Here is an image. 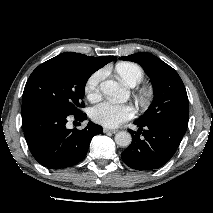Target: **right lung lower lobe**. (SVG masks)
Segmentation results:
<instances>
[{
	"instance_id": "obj_1",
	"label": "right lung lower lobe",
	"mask_w": 213,
	"mask_h": 213,
	"mask_svg": "<svg viewBox=\"0 0 213 213\" xmlns=\"http://www.w3.org/2000/svg\"><path fill=\"white\" fill-rule=\"evenodd\" d=\"M22 123L25 139L33 157L50 169L66 168L79 163L86 155L90 141L103 132L89 122L85 129H67L68 114L37 99L22 101ZM80 122L87 116L74 115Z\"/></svg>"
}]
</instances>
